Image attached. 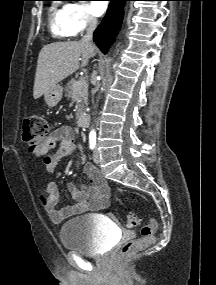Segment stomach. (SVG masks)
Segmentation results:
<instances>
[{
  "label": "stomach",
  "mask_w": 216,
  "mask_h": 285,
  "mask_svg": "<svg viewBox=\"0 0 216 285\" xmlns=\"http://www.w3.org/2000/svg\"><path fill=\"white\" fill-rule=\"evenodd\" d=\"M62 95L63 88L61 85L57 84L50 91L44 94V99L49 107H54L61 101Z\"/></svg>",
  "instance_id": "0dacf381"
}]
</instances>
